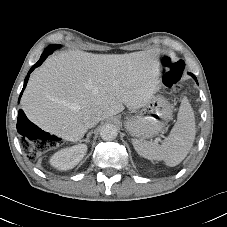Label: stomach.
<instances>
[{
    "label": "stomach",
    "instance_id": "stomach-1",
    "mask_svg": "<svg viewBox=\"0 0 227 227\" xmlns=\"http://www.w3.org/2000/svg\"><path fill=\"white\" fill-rule=\"evenodd\" d=\"M172 118V106L162 95H154L146 105L125 122L126 130L140 140L163 132Z\"/></svg>",
    "mask_w": 227,
    "mask_h": 227
}]
</instances>
